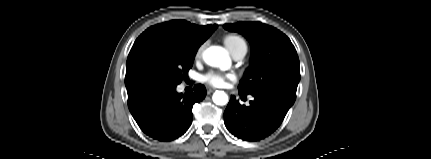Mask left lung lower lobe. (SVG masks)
Returning <instances> with one entry per match:
<instances>
[{"mask_svg": "<svg viewBox=\"0 0 431 159\" xmlns=\"http://www.w3.org/2000/svg\"><path fill=\"white\" fill-rule=\"evenodd\" d=\"M251 95L254 100L249 106L241 105L233 96L224 112V122L235 137L254 142L269 136L281 125L295 98L275 90Z\"/></svg>", "mask_w": 431, "mask_h": 159, "instance_id": "1", "label": "left lung lower lobe"}]
</instances>
